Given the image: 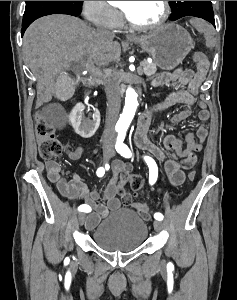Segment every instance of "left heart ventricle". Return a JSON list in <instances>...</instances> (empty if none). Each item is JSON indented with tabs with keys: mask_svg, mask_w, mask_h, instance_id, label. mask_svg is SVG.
<instances>
[{
	"mask_svg": "<svg viewBox=\"0 0 237 300\" xmlns=\"http://www.w3.org/2000/svg\"><path fill=\"white\" fill-rule=\"evenodd\" d=\"M121 9L137 24L148 25L160 19L162 1H121Z\"/></svg>",
	"mask_w": 237,
	"mask_h": 300,
	"instance_id": "b2bd125f",
	"label": "left heart ventricle"
}]
</instances>
